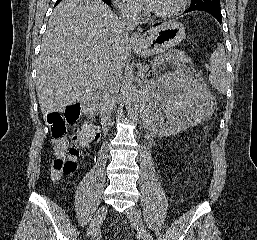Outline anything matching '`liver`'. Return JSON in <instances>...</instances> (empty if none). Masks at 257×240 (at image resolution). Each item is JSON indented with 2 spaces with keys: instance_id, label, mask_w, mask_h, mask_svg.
I'll list each match as a JSON object with an SVG mask.
<instances>
[{
  "instance_id": "liver-1",
  "label": "liver",
  "mask_w": 257,
  "mask_h": 240,
  "mask_svg": "<svg viewBox=\"0 0 257 240\" xmlns=\"http://www.w3.org/2000/svg\"><path fill=\"white\" fill-rule=\"evenodd\" d=\"M117 23L102 0H62L55 7L37 65L44 116L90 96L111 72L121 73L131 40L120 38Z\"/></svg>"
}]
</instances>
